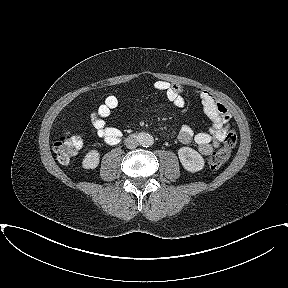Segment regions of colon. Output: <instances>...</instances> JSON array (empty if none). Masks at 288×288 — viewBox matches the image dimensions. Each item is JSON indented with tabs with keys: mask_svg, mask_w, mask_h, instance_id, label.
<instances>
[{
	"mask_svg": "<svg viewBox=\"0 0 288 288\" xmlns=\"http://www.w3.org/2000/svg\"><path fill=\"white\" fill-rule=\"evenodd\" d=\"M83 142L81 134L67 131L55 140L53 149L60 162L68 163L78 150L82 148ZM236 143L237 133L234 129H230L224 137L223 147L213 153L208 159L209 167L211 169L220 168L229 159Z\"/></svg>",
	"mask_w": 288,
	"mask_h": 288,
	"instance_id": "5ec220e1",
	"label": "colon"
}]
</instances>
